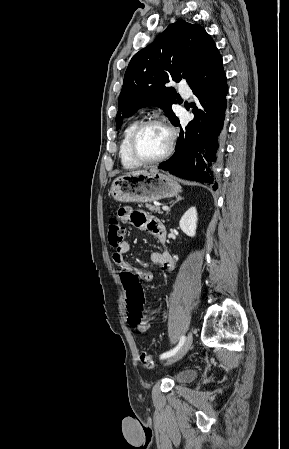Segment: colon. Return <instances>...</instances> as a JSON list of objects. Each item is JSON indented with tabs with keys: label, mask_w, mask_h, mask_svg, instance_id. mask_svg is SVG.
Listing matches in <instances>:
<instances>
[{
	"label": "colon",
	"mask_w": 289,
	"mask_h": 449,
	"mask_svg": "<svg viewBox=\"0 0 289 449\" xmlns=\"http://www.w3.org/2000/svg\"><path fill=\"white\" fill-rule=\"evenodd\" d=\"M126 229L124 225L115 217H111L108 222V242L117 248L125 239ZM118 278L124 285L127 292V306L129 310V323L134 328H139L142 324V310L144 295L138 278L134 271H119ZM141 363L147 367L155 366V359L146 351L140 353Z\"/></svg>",
	"instance_id": "colon-1"
}]
</instances>
